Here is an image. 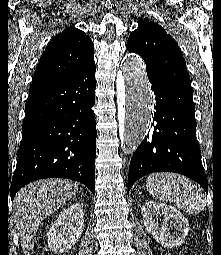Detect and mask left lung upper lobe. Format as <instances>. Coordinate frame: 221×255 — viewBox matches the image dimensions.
Returning a JSON list of instances; mask_svg holds the SVG:
<instances>
[{
  "instance_id": "left-lung-upper-lobe-1",
  "label": "left lung upper lobe",
  "mask_w": 221,
  "mask_h": 255,
  "mask_svg": "<svg viewBox=\"0 0 221 255\" xmlns=\"http://www.w3.org/2000/svg\"><path fill=\"white\" fill-rule=\"evenodd\" d=\"M127 49L143 58L147 75L193 94L181 50L160 25L141 19L138 28L128 38Z\"/></svg>"
}]
</instances>
